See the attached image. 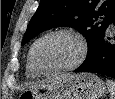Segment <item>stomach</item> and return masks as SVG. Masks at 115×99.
I'll return each instance as SVG.
<instances>
[{
	"instance_id": "1",
	"label": "stomach",
	"mask_w": 115,
	"mask_h": 99,
	"mask_svg": "<svg viewBox=\"0 0 115 99\" xmlns=\"http://www.w3.org/2000/svg\"><path fill=\"white\" fill-rule=\"evenodd\" d=\"M106 87L95 74H72L45 86L27 89L21 99H99Z\"/></svg>"
}]
</instances>
